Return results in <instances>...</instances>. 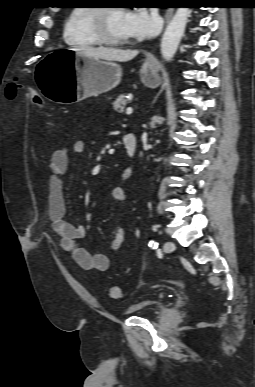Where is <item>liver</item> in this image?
I'll return each instance as SVG.
<instances>
[{
	"mask_svg": "<svg viewBox=\"0 0 255 387\" xmlns=\"http://www.w3.org/2000/svg\"><path fill=\"white\" fill-rule=\"evenodd\" d=\"M75 51L85 55L87 57H92L95 59H101L105 61H117V62H127L134 59L138 55L137 50H122L106 47H81L75 49Z\"/></svg>",
	"mask_w": 255,
	"mask_h": 387,
	"instance_id": "obj_1",
	"label": "liver"
}]
</instances>
